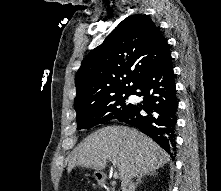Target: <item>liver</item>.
Returning <instances> with one entry per match:
<instances>
[{
  "label": "liver",
  "instance_id": "6515ba94",
  "mask_svg": "<svg viewBox=\"0 0 221 191\" xmlns=\"http://www.w3.org/2000/svg\"><path fill=\"white\" fill-rule=\"evenodd\" d=\"M109 157L116 161L122 188L131 178L155 171L169 160L164 150L138 130L108 126L89 135L73 150L68 172L75 166L101 171Z\"/></svg>",
  "mask_w": 221,
  "mask_h": 191
}]
</instances>
